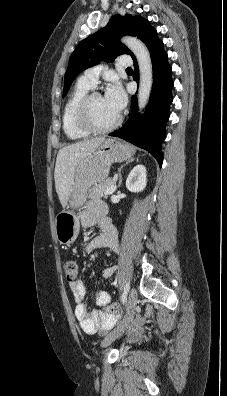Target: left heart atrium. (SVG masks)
I'll return each mask as SVG.
<instances>
[{
    "mask_svg": "<svg viewBox=\"0 0 227 396\" xmlns=\"http://www.w3.org/2000/svg\"><path fill=\"white\" fill-rule=\"evenodd\" d=\"M104 99L106 103L116 112L120 113L127 103L126 94L117 81H113L107 88Z\"/></svg>",
    "mask_w": 227,
    "mask_h": 396,
    "instance_id": "obj_1",
    "label": "left heart atrium"
}]
</instances>
